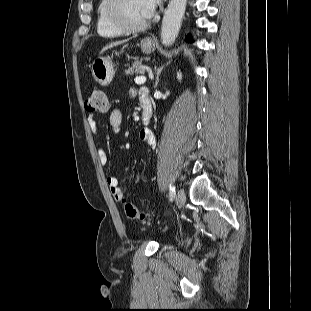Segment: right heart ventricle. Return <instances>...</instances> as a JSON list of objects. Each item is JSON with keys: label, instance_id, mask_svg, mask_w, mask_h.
<instances>
[{"label": "right heart ventricle", "instance_id": "obj_1", "mask_svg": "<svg viewBox=\"0 0 311 311\" xmlns=\"http://www.w3.org/2000/svg\"><path fill=\"white\" fill-rule=\"evenodd\" d=\"M107 0H99L96 10V31L100 36L117 37L123 34L122 31L113 26L106 16Z\"/></svg>", "mask_w": 311, "mask_h": 311}]
</instances>
